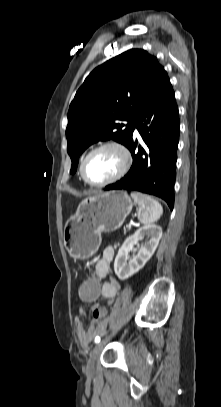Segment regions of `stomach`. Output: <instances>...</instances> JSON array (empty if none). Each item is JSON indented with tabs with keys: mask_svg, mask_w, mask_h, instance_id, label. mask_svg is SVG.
Masks as SVG:
<instances>
[{
	"mask_svg": "<svg viewBox=\"0 0 221 407\" xmlns=\"http://www.w3.org/2000/svg\"><path fill=\"white\" fill-rule=\"evenodd\" d=\"M133 202L124 191H111L85 198L67 221L63 240L70 256L87 259L96 253L101 234L119 229Z\"/></svg>",
	"mask_w": 221,
	"mask_h": 407,
	"instance_id": "stomach-1",
	"label": "stomach"
}]
</instances>
